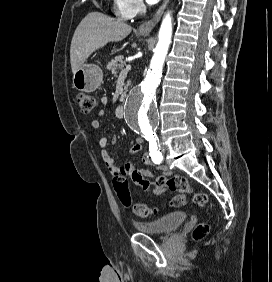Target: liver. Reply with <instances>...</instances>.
Returning <instances> with one entry per match:
<instances>
[{
    "instance_id": "obj_1",
    "label": "liver",
    "mask_w": 272,
    "mask_h": 282,
    "mask_svg": "<svg viewBox=\"0 0 272 282\" xmlns=\"http://www.w3.org/2000/svg\"><path fill=\"white\" fill-rule=\"evenodd\" d=\"M131 26L99 12L89 13L77 26L70 47L73 74L97 49L119 42L131 33Z\"/></svg>"
}]
</instances>
